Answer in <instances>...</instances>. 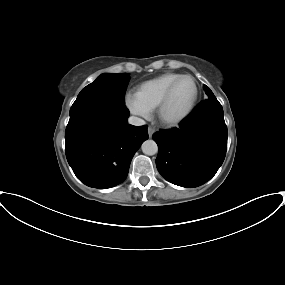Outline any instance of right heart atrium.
Segmentation results:
<instances>
[{"instance_id": "d8ad5b80", "label": "right heart atrium", "mask_w": 285, "mask_h": 285, "mask_svg": "<svg viewBox=\"0 0 285 285\" xmlns=\"http://www.w3.org/2000/svg\"><path fill=\"white\" fill-rule=\"evenodd\" d=\"M126 107L128 110L138 116L141 117H148L149 116V111L143 108L136 100L134 97L127 96L126 101H125Z\"/></svg>"}]
</instances>
